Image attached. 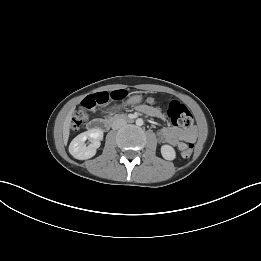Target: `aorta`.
<instances>
[{"label": "aorta", "instance_id": "762f6f07", "mask_svg": "<svg viewBox=\"0 0 261 261\" xmlns=\"http://www.w3.org/2000/svg\"><path fill=\"white\" fill-rule=\"evenodd\" d=\"M136 125H137V126H142V125H143V120H142L141 118H138V119L136 120Z\"/></svg>", "mask_w": 261, "mask_h": 261}]
</instances>
